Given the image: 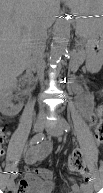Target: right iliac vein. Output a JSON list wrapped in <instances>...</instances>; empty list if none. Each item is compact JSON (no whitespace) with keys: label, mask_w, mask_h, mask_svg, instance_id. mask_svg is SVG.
Instances as JSON below:
<instances>
[{"label":"right iliac vein","mask_w":103,"mask_h":193,"mask_svg":"<svg viewBox=\"0 0 103 193\" xmlns=\"http://www.w3.org/2000/svg\"><path fill=\"white\" fill-rule=\"evenodd\" d=\"M44 129V123L42 121H37L34 124V131L35 132H41ZM8 189H12L13 187V181H9L7 184Z\"/></svg>","instance_id":"right-iliac-vein-1"}]
</instances>
